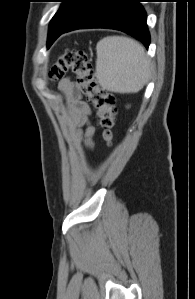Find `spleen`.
<instances>
[{
    "mask_svg": "<svg viewBox=\"0 0 195 299\" xmlns=\"http://www.w3.org/2000/svg\"><path fill=\"white\" fill-rule=\"evenodd\" d=\"M95 76L103 90L136 93L150 77L145 49L123 36L105 37L97 43Z\"/></svg>",
    "mask_w": 195,
    "mask_h": 299,
    "instance_id": "1",
    "label": "spleen"
}]
</instances>
